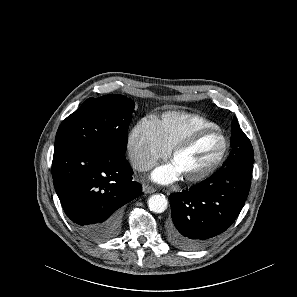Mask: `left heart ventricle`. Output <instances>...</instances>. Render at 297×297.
<instances>
[{
    "mask_svg": "<svg viewBox=\"0 0 297 297\" xmlns=\"http://www.w3.org/2000/svg\"><path fill=\"white\" fill-rule=\"evenodd\" d=\"M222 140L210 133L199 137L189 148L180 152L172 163L182 177L194 176L211 166L220 155Z\"/></svg>",
    "mask_w": 297,
    "mask_h": 297,
    "instance_id": "b2bd125f",
    "label": "left heart ventricle"
}]
</instances>
